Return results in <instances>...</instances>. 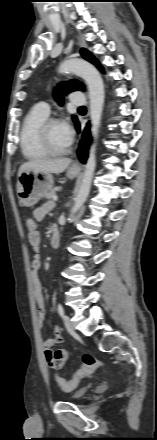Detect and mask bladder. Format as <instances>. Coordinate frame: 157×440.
Returning <instances> with one entry per match:
<instances>
[{"instance_id": "bladder-1", "label": "bladder", "mask_w": 157, "mask_h": 440, "mask_svg": "<svg viewBox=\"0 0 157 440\" xmlns=\"http://www.w3.org/2000/svg\"><path fill=\"white\" fill-rule=\"evenodd\" d=\"M88 392H89V388L84 387V388L78 389V390L70 393L68 395L67 399L72 402H77V401H80L83 398H85V396L87 395Z\"/></svg>"}]
</instances>
